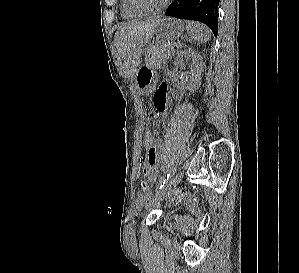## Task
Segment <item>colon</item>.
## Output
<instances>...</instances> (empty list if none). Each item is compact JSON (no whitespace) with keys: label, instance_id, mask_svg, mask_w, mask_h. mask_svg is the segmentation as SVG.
I'll use <instances>...</instances> for the list:
<instances>
[{"label":"colon","instance_id":"1","mask_svg":"<svg viewBox=\"0 0 299 273\" xmlns=\"http://www.w3.org/2000/svg\"><path fill=\"white\" fill-rule=\"evenodd\" d=\"M159 125L157 123L148 127L144 136V145H151L157 140V130ZM142 190L147 191V185L145 182L141 184ZM166 200L168 203H177L188 205L193 211L197 207V198L186 190H170L166 194Z\"/></svg>","mask_w":299,"mask_h":273}]
</instances>
